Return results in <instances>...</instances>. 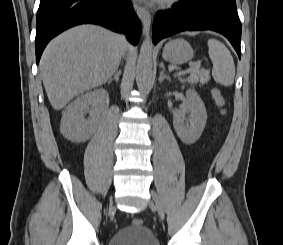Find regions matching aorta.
Segmentation results:
<instances>
[{
	"label": "aorta",
	"mask_w": 283,
	"mask_h": 245,
	"mask_svg": "<svg viewBox=\"0 0 283 245\" xmlns=\"http://www.w3.org/2000/svg\"><path fill=\"white\" fill-rule=\"evenodd\" d=\"M152 41L149 36L142 43L136 68V82L140 91L145 90L152 78Z\"/></svg>",
	"instance_id": "aorta-1"
}]
</instances>
